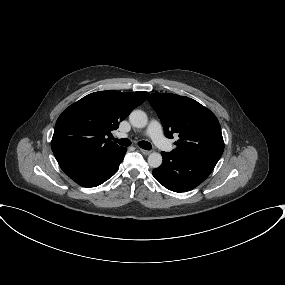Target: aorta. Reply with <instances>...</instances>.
<instances>
[{
	"mask_svg": "<svg viewBox=\"0 0 285 285\" xmlns=\"http://www.w3.org/2000/svg\"><path fill=\"white\" fill-rule=\"evenodd\" d=\"M129 121L135 128H144L148 123L147 115L142 110H133L129 115ZM148 163L152 168H158L162 164L160 153L153 152L148 156Z\"/></svg>",
	"mask_w": 285,
	"mask_h": 285,
	"instance_id": "1",
	"label": "aorta"
}]
</instances>
